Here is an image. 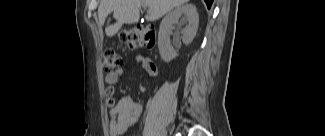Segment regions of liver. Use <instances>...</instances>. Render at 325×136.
Listing matches in <instances>:
<instances>
[{
  "label": "liver",
  "instance_id": "6515ba94",
  "mask_svg": "<svg viewBox=\"0 0 325 136\" xmlns=\"http://www.w3.org/2000/svg\"><path fill=\"white\" fill-rule=\"evenodd\" d=\"M188 2V0H101L98 8L99 24L104 25L107 16L113 12L116 23L106 27L107 36H114L123 24L139 21L140 5H146L149 10L146 15L148 21H155L171 11L174 7Z\"/></svg>",
  "mask_w": 325,
  "mask_h": 136
}]
</instances>
